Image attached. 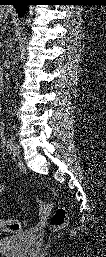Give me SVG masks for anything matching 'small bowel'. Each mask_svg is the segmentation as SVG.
<instances>
[{
	"label": "small bowel",
	"instance_id": "obj_1",
	"mask_svg": "<svg viewBox=\"0 0 106 257\" xmlns=\"http://www.w3.org/2000/svg\"><path fill=\"white\" fill-rule=\"evenodd\" d=\"M3 188H4V185L2 184V186H1V192L3 191Z\"/></svg>",
	"mask_w": 106,
	"mask_h": 257
}]
</instances>
